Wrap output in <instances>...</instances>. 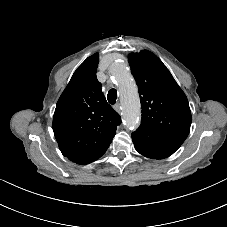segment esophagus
Instances as JSON below:
<instances>
[{
	"label": "esophagus",
	"instance_id": "obj_1",
	"mask_svg": "<svg viewBox=\"0 0 227 227\" xmlns=\"http://www.w3.org/2000/svg\"><path fill=\"white\" fill-rule=\"evenodd\" d=\"M114 110L116 111V112H118V113H120L121 112V106H120V104L118 103V104H116V105H114Z\"/></svg>",
	"mask_w": 227,
	"mask_h": 227
}]
</instances>
